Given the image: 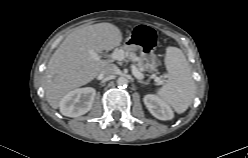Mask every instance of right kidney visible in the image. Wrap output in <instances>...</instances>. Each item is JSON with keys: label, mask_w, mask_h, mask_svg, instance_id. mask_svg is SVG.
<instances>
[{"label": "right kidney", "mask_w": 248, "mask_h": 158, "mask_svg": "<svg viewBox=\"0 0 248 158\" xmlns=\"http://www.w3.org/2000/svg\"><path fill=\"white\" fill-rule=\"evenodd\" d=\"M95 95L96 90L92 87L74 89L60 101V112L68 117L84 115L92 108Z\"/></svg>", "instance_id": "ca27d5eb"}]
</instances>
